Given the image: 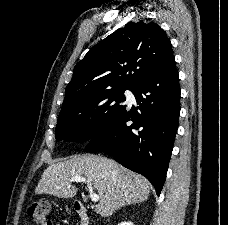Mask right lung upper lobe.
<instances>
[{
  "instance_id": "obj_1",
  "label": "right lung upper lobe",
  "mask_w": 228,
  "mask_h": 225,
  "mask_svg": "<svg viewBox=\"0 0 228 225\" xmlns=\"http://www.w3.org/2000/svg\"><path fill=\"white\" fill-rule=\"evenodd\" d=\"M173 56L154 22H129L93 46L75 68L63 105L113 87L133 89Z\"/></svg>"
}]
</instances>
